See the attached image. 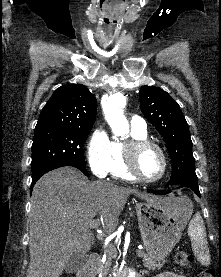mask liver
Segmentation results:
<instances>
[{
	"label": "liver",
	"instance_id": "liver-1",
	"mask_svg": "<svg viewBox=\"0 0 221 277\" xmlns=\"http://www.w3.org/2000/svg\"><path fill=\"white\" fill-rule=\"evenodd\" d=\"M131 194L166 205L163 197L104 181L90 182L72 167L43 175L32 193L26 277H59L74 253L90 250L94 218L99 215L105 232L112 233Z\"/></svg>",
	"mask_w": 221,
	"mask_h": 277
}]
</instances>
